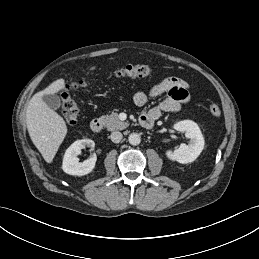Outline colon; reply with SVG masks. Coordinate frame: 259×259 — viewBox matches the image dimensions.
I'll return each instance as SVG.
<instances>
[{
    "instance_id": "5ec220e1",
    "label": "colon",
    "mask_w": 259,
    "mask_h": 259,
    "mask_svg": "<svg viewBox=\"0 0 259 259\" xmlns=\"http://www.w3.org/2000/svg\"><path fill=\"white\" fill-rule=\"evenodd\" d=\"M152 73V68L145 64L139 65H127L113 72V77L118 79L138 78L145 77ZM86 82L83 80L75 81L70 85H67L61 93L60 107L65 123L69 126L77 124L80 110L76 101L72 98L70 92L72 89L86 86ZM210 113L218 117L221 114V110L218 105L212 104L209 107Z\"/></svg>"
}]
</instances>
